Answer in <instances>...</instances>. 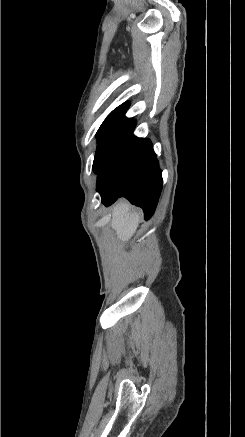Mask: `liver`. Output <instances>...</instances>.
<instances>
[{
    "label": "liver",
    "instance_id": "6515ba94",
    "mask_svg": "<svg viewBox=\"0 0 245 437\" xmlns=\"http://www.w3.org/2000/svg\"><path fill=\"white\" fill-rule=\"evenodd\" d=\"M140 221V215L131 211L126 202L118 203L112 212L111 228L115 230L117 238L127 242L135 233Z\"/></svg>",
    "mask_w": 245,
    "mask_h": 437
}]
</instances>
